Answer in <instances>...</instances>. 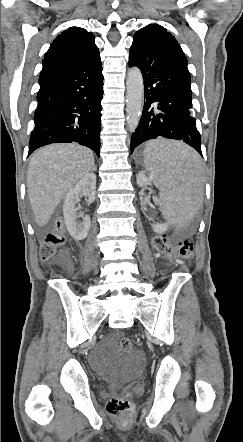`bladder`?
Masks as SVG:
<instances>
[{
    "mask_svg": "<svg viewBox=\"0 0 243 442\" xmlns=\"http://www.w3.org/2000/svg\"><path fill=\"white\" fill-rule=\"evenodd\" d=\"M116 365V372L111 383L115 386H121L132 382L139 376L143 367V360L137 355L120 354Z\"/></svg>",
    "mask_w": 243,
    "mask_h": 442,
    "instance_id": "bladder-1",
    "label": "bladder"
}]
</instances>
